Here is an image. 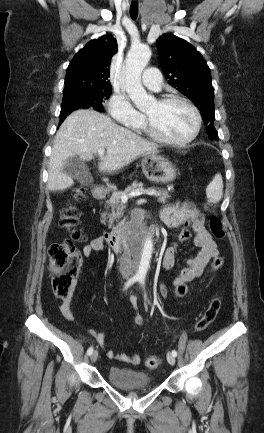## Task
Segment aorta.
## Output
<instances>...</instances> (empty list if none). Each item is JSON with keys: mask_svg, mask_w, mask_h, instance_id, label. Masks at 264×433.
<instances>
[{"mask_svg": "<svg viewBox=\"0 0 264 433\" xmlns=\"http://www.w3.org/2000/svg\"><path fill=\"white\" fill-rule=\"evenodd\" d=\"M151 57V50L146 45L133 47L127 54L125 60L126 92L137 108L142 109L153 101V97L148 95L141 83V74ZM153 252V240L147 237L141 245L139 255L140 261L136 272V277L143 279L146 277L150 260Z\"/></svg>", "mask_w": 264, "mask_h": 433, "instance_id": "762f6f07", "label": "aorta"}]
</instances>
